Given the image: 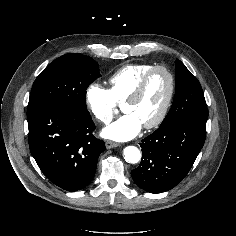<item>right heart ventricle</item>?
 <instances>
[{"mask_svg":"<svg viewBox=\"0 0 236 236\" xmlns=\"http://www.w3.org/2000/svg\"><path fill=\"white\" fill-rule=\"evenodd\" d=\"M153 67L151 64H129L118 69L108 79L110 92L117 103H123L135 89L142 76Z\"/></svg>","mask_w":236,"mask_h":236,"instance_id":"e07e8e85","label":"right heart ventricle"}]
</instances>
